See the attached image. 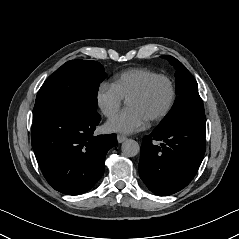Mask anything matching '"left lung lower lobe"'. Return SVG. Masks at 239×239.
I'll return each mask as SVG.
<instances>
[{
	"instance_id": "left-lung-lower-lobe-1",
	"label": "left lung lower lobe",
	"mask_w": 239,
	"mask_h": 239,
	"mask_svg": "<svg viewBox=\"0 0 239 239\" xmlns=\"http://www.w3.org/2000/svg\"><path fill=\"white\" fill-rule=\"evenodd\" d=\"M205 131L204 119L188 118L143 138L139 175L151 192L171 195L191 182L204 157Z\"/></svg>"
}]
</instances>
